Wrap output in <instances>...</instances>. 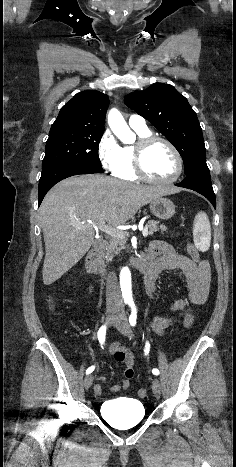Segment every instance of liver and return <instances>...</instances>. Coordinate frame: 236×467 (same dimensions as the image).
Instances as JSON below:
<instances>
[{
	"label": "liver",
	"instance_id": "obj_1",
	"mask_svg": "<svg viewBox=\"0 0 236 467\" xmlns=\"http://www.w3.org/2000/svg\"><path fill=\"white\" fill-rule=\"evenodd\" d=\"M178 191L98 174L73 176L56 184L39 209L46 250L43 283H54L88 252L101 221L114 227L125 225L142 206Z\"/></svg>",
	"mask_w": 236,
	"mask_h": 467
}]
</instances>
